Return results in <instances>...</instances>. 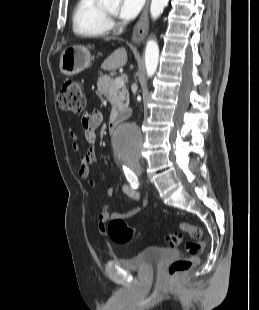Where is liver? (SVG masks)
Segmentation results:
<instances>
[{"instance_id": "6515ba94", "label": "liver", "mask_w": 259, "mask_h": 310, "mask_svg": "<svg viewBox=\"0 0 259 310\" xmlns=\"http://www.w3.org/2000/svg\"><path fill=\"white\" fill-rule=\"evenodd\" d=\"M127 63V52L124 47L116 49L108 58L103 62L104 69L116 70L125 66Z\"/></svg>"}]
</instances>
